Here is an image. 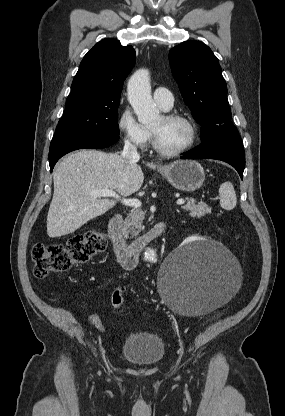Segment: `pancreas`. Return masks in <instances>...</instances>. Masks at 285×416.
Segmentation results:
<instances>
[{
	"instance_id": "1",
	"label": "pancreas",
	"mask_w": 285,
	"mask_h": 416,
	"mask_svg": "<svg viewBox=\"0 0 285 416\" xmlns=\"http://www.w3.org/2000/svg\"><path fill=\"white\" fill-rule=\"evenodd\" d=\"M182 208L183 210L190 212L189 216H191V218H202L207 212H211L210 206H207V204H197L194 198H189L186 206H182ZM144 218L145 212H142L139 208L138 210H134V212L129 214L126 220H124V232H129L131 236H139V232H141L143 228L142 222Z\"/></svg>"
}]
</instances>
